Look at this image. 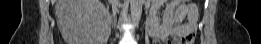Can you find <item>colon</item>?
<instances>
[{"label": "colon", "instance_id": "5ec220e1", "mask_svg": "<svg viewBox=\"0 0 261 44\" xmlns=\"http://www.w3.org/2000/svg\"><path fill=\"white\" fill-rule=\"evenodd\" d=\"M184 5H185V6H190V5H191V2H190V1H185V2H184ZM180 42L182 43V41H180Z\"/></svg>", "mask_w": 261, "mask_h": 44}]
</instances>
